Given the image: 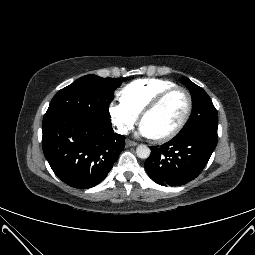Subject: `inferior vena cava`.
<instances>
[{
  "mask_svg": "<svg viewBox=\"0 0 255 255\" xmlns=\"http://www.w3.org/2000/svg\"><path fill=\"white\" fill-rule=\"evenodd\" d=\"M120 133H121V134H126V131L121 130Z\"/></svg>",
  "mask_w": 255,
  "mask_h": 255,
  "instance_id": "obj_1",
  "label": "inferior vena cava"
}]
</instances>
